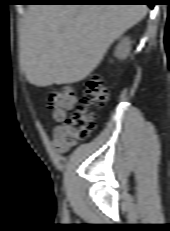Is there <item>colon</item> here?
Wrapping results in <instances>:
<instances>
[{"mask_svg": "<svg viewBox=\"0 0 170 231\" xmlns=\"http://www.w3.org/2000/svg\"><path fill=\"white\" fill-rule=\"evenodd\" d=\"M109 99V91L103 79L93 74L86 85L83 97L75 112L66 117V111L75 106L71 86H64L50 96V108L55 120L62 122L63 136L69 145L87 139L96 127V115L92 107H99Z\"/></svg>", "mask_w": 170, "mask_h": 231, "instance_id": "1", "label": "colon"}]
</instances>
